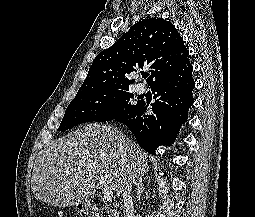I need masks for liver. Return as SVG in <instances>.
<instances>
[{
    "label": "liver",
    "instance_id": "1",
    "mask_svg": "<svg viewBox=\"0 0 255 217\" xmlns=\"http://www.w3.org/2000/svg\"><path fill=\"white\" fill-rule=\"evenodd\" d=\"M147 159L148 154L117 128L87 124L39 152L31 189L37 200L72 206L92 194L100 176L119 197L128 178L134 181L148 172Z\"/></svg>",
    "mask_w": 255,
    "mask_h": 217
}]
</instances>
